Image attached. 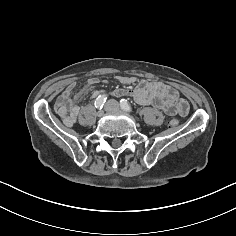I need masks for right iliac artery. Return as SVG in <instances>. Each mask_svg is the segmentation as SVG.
<instances>
[{"mask_svg": "<svg viewBox=\"0 0 236 236\" xmlns=\"http://www.w3.org/2000/svg\"><path fill=\"white\" fill-rule=\"evenodd\" d=\"M106 99H107L106 95H104V94L99 95L95 100V107L97 109H102L104 103L106 102Z\"/></svg>", "mask_w": 236, "mask_h": 236, "instance_id": "82829eb1", "label": "right iliac artery"}]
</instances>
